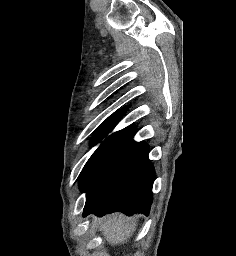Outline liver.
Here are the masks:
<instances>
[{
	"instance_id": "obj_1",
	"label": "liver",
	"mask_w": 236,
	"mask_h": 256,
	"mask_svg": "<svg viewBox=\"0 0 236 256\" xmlns=\"http://www.w3.org/2000/svg\"><path fill=\"white\" fill-rule=\"evenodd\" d=\"M136 222L137 220H132V218H125L123 214H112L100 220L95 218L93 224L95 228L98 226L107 244L119 246V244H126L128 238H131L136 230Z\"/></svg>"
}]
</instances>
